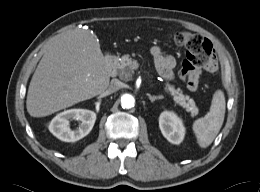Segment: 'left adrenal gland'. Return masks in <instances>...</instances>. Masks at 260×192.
Returning <instances> with one entry per match:
<instances>
[{"instance_id": "a2214340", "label": "left adrenal gland", "mask_w": 260, "mask_h": 192, "mask_svg": "<svg viewBox=\"0 0 260 192\" xmlns=\"http://www.w3.org/2000/svg\"><path fill=\"white\" fill-rule=\"evenodd\" d=\"M148 97H149V100L151 101V102H154L155 100H159V99H163L164 97L163 96H152V95H148Z\"/></svg>"}]
</instances>
